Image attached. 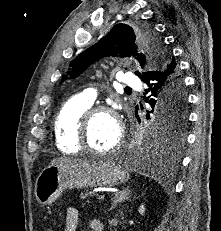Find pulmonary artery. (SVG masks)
Returning a JSON list of instances; mask_svg holds the SVG:
<instances>
[{"label": "pulmonary artery", "mask_w": 221, "mask_h": 231, "mask_svg": "<svg viewBox=\"0 0 221 231\" xmlns=\"http://www.w3.org/2000/svg\"><path fill=\"white\" fill-rule=\"evenodd\" d=\"M121 84L128 87H137L139 85V80L130 73H123L120 76ZM97 92L95 89L89 88L80 93L79 98L92 104L97 98Z\"/></svg>", "instance_id": "pulmonary-artery-1"}]
</instances>
